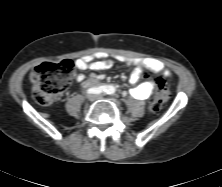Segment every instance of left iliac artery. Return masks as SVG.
I'll return each mask as SVG.
<instances>
[{
    "label": "left iliac artery",
    "mask_w": 222,
    "mask_h": 187,
    "mask_svg": "<svg viewBox=\"0 0 222 187\" xmlns=\"http://www.w3.org/2000/svg\"><path fill=\"white\" fill-rule=\"evenodd\" d=\"M105 92L109 95H113L115 93V90L112 86H109V87H107Z\"/></svg>",
    "instance_id": "obj_1"
}]
</instances>
